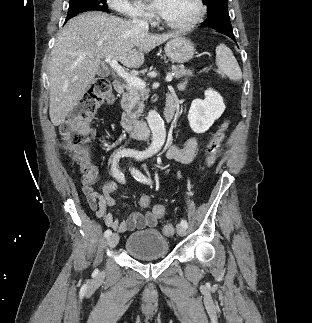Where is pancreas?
I'll list each match as a JSON object with an SVG mask.
<instances>
[{"label": "pancreas", "instance_id": "1", "mask_svg": "<svg viewBox=\"0 0 312 323\" xmlns=\"http://www.w3.org/2000/svg\"><path fill=\"white\" fill-rule=\"evenodd\" d=\"M173 72L175 74L174 78H185V76H191L193 74V70H183V68H174ZM125 90L127 92L122 96L121 108L126 110L130 118L137 120L143 114L144 102L149 98V90L135 88V86H130V84H127Z\"/></svg>", "mask_w": 312, "mask_h": 323}]
</instances>
